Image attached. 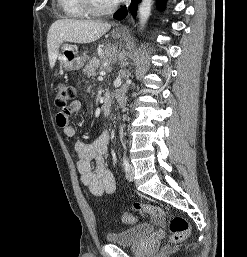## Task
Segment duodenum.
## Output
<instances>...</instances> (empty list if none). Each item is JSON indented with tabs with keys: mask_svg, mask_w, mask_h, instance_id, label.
Wrapping results in <instances>:
<instances>
[{
	"mask_svg": "<svg viewBox=\"0 0 247 257\" xmlns=\"http://www.w3.org/2000/svg\"><path fill=\"white\" fill-rule=\"evenodd\" d=\"M112 110V97L109 91H105L103 95L102 112L105 116L110 115Z\"/></svg>",
	"mask_w": 247,
	"mask_h": 257,
	"instance_id": "410a0bca",
	"label": "duodenum"
}]
</instances>
